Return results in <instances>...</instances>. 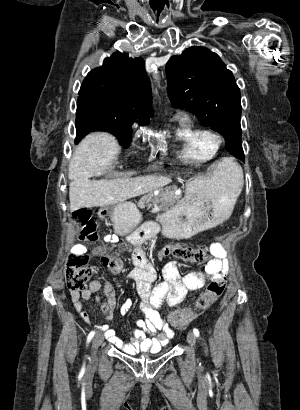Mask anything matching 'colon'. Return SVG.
<instances>
[{"label": "colon", "instance_id": "5ec220e1", "mask_svg": "<svg viewBox=\"0 0 300 410\" xmlns=\"http://www.w3.org/2000/svg\"><path fill=\"white\" fill-rule=\"evenodd\" d=\"M73 218L81 225L80 236L85 241H96L98 233L91 212L82 208L76 211ZM161 256H172L180 260L193 262L197 264L205 263L209 258V250L184 244L165 245L160 250ZM104 265L113 274H119L124 271L125 265L121 257L117 255H105L103 257ZM95 269L88 262V259L82 255H73L68 259L66 267V284L71 292H80L84 290L86 283L92 277ZM226 287V281L216 279L208 285L207 289L200 295L196 301L197 310H205L218 300L223 294ZM195 315L192 309H182L173 312L170 316L172 326L180 328L186 326Z\"/></svg>", "mask_w": 300, "mask_h": 410}]
</instances>
